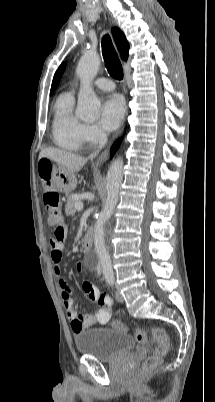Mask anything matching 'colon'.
Masks as SVG:
<instances>
[{
	"instance_id": "colon-1",
	"label": "colon",
	"mask_w": 215,
	"mask_h": 402,
	"mask_svg": "<svg viewBox=\"0 0 215 402\" xmlns=\"http://www.w3.org/2000/svg\"><path fill=\"white\" fill-rule=\"evenodd\" d=\"M52 168L53 161L48 156H41L38 161V177L42 185L43 203L47 211L48 223L58 228L61 224L60 197L51 183ZM114 326L118 329L123 327L119 321H115ZM135 336L141 344L148 342L155 344L153 354L146 358L141 369V375H146L159 365L161 358L168 352L170 340L166 331L159 327L152 328L149 331L138 328Z\"/></svg>"
}]
</instances>
